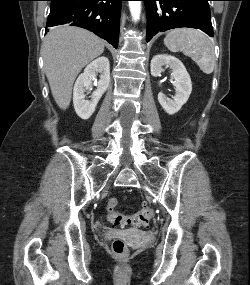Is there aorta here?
<instances>
[{"instance_id":"1","label":"aorta","mask_w":250,"mask_h":285,"mask_svg":"<svg viewBox=\"0 0 250 285\" xmlns=\"http://www.w3.org/2000/svg\"><path fill=\"white\" fill-rule=\"evenodd\" d=\"M129 9L134 21H138L141 14V1H129Z\"/></svg>"}]
</instances>
